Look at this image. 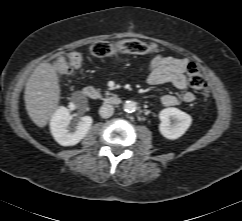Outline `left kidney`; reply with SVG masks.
Segmentation results:
<instances>
[{
	"label": "left kidney",
	"instance_id": "left-kidney-1",
	"mask_svg": "<svg viewBox=\"0 0 242 221\" xmlns=\"http://www.w3.org/2000/svg\"><path fill=\"white\" fill-rule=\"evenodd\" d=\"M159 119L161 121L159 131L169 140L181 137L192 123V118L189 114L175 107L161 110Z\"/></svg>",
	"mask_w": 242,
	"mask_h": 221
}]
</instances>
